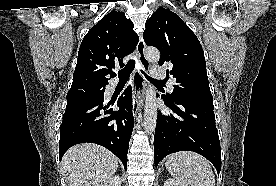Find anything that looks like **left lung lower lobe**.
Returning a JSON list of instances; mask_svg holds the SVG:
<instances>
[{
	"instance_id": "left-lung-lower-lobe-1",
	"label": "left lung lower lobe",
	"mask_w": 276,
	"mask_h": 186,
	"mask_svg": "<svg viewBox=\"0 0 276 186\" xmlns=\"http://www.w3.org/2000/svg\"><path fill=\"white\" fill-rule=\"evenodd\" d=\"M161 98L172 113L158 112L154 137L155 166L168 154L188 150L211 161L219 174L221 148L213 100L175 103L166 95Z\"/></svg>"
}]
</instances>
